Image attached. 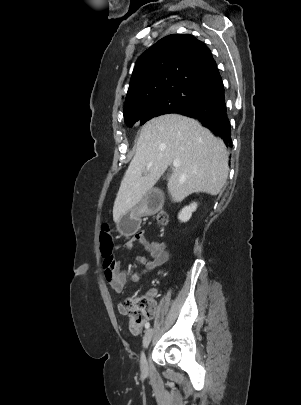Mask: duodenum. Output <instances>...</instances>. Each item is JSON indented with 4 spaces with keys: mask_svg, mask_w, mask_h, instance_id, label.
I'll list each match as a JSON object with an SVG mask.
<instances>
[{
    "mask_svg": "<svg viewBox=\"0 0 301 405\" xmlns=\"http://www.w3.org/2000/svg\"><path fill=\"white\" fill-rule=\"evenodd\" d=\"M162 190H145L144 197L140 200L141 219H151L153 213H161L164 206Z\"/></svg>",
    "mask_w": 301,
    "mask_h": 405,
    "instance_id": "obj_1",
    "label": "duodenum"
}]
</instances>
